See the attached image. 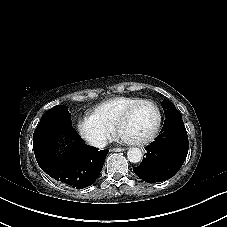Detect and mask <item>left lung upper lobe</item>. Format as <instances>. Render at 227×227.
<instances>
[{"label":"left lung upper lobe","instance_id":"1","mask_svg":"<svg viewBox=\"0 0 227 227\" xmlns=\"http://www.w3.org/2000/svg\"><path fill=\"white\" fill-rule=\"evenodd\" d=\"M163 107L165 117L167 118H182L181 113L176 109V107L170 101L161 102Z\"/></svg>","mask_w":227,"mask_h":227}]
</instances>
